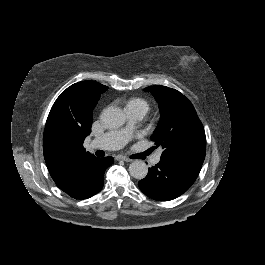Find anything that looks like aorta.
Returning <instances> with one entry per match:
<instances>
[{"label":"aorta","instance_id":"762f6f07","mask_svg":"<svg viewBox=\"0 0 265 265\" xmlns=\"http://www.w3.org/2000/svg\"><path fill=\"white\" fill-rule=\"evenodd\" d=\"M126 116L120 108L108 107L101 114L102 124L109 129L122 126ZM129 173L135 179H143L148 173V166L142 160H134L129 166Z\"/></svg>","mask_w":265,"mask_h":265}]
</instances>
